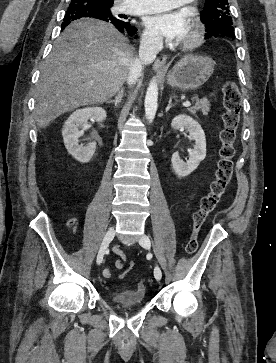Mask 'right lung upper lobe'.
<instances>
[{"instance_id": "obj_1", "label": "right lung upper lobe", "mask_w": 276, "mask_h": 363, "mask_svg": "<svg viewBox=\"0 0 276 363\" xmlns=\"http://www.w3.org/2000/svg\"><path fill=\"white\" fill-rule=\"evenodd\" d=\"M97 1L105 2V3H109V4H113L114 3V0H97ZM108 20H115L117 22L123 21V20L116 19V18H114V19H108Z\"/></svg>"}]
</instances>
